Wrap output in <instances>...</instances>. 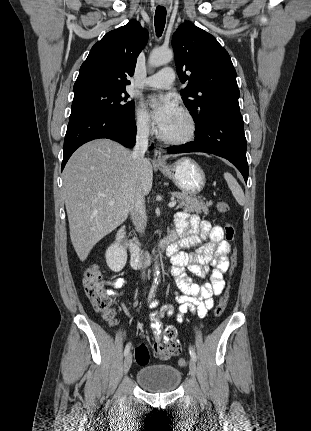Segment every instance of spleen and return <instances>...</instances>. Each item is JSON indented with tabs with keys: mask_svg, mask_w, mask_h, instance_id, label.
I'll use <instances>...</instances> for the list:
<instances>
[{
	"mask_svg": "<svg viewBox=\"0 0 311 431\" xmlns=\"http://www.w3.org/2000/svg\"><path fill=\"white\" fill-rule=\"evenodd\" d=\"M224 180H226L228 184V188H230L236 202L240 204V206H244L245 204V196L242 188H240L238 182H236L235 178H233L232 174H224Z\"/></svg>",
	"mask_w": 311,
	"mask_h": 431,
	"instance_id": "1",
	"label": "spleen"
}]
</instances>
